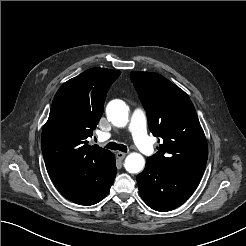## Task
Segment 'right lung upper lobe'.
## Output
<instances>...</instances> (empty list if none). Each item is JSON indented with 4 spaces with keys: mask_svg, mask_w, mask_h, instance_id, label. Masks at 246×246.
<instances>
[{
    "mask_svg": "<svg viewBox=\"0 0 246 246\" xmlns=\"http://www.w3.org/2000/svg\"><path fill=\"white\" fill-rule=\"evenodd\" d=\"M120 74L116 70L91 68L59 88L41 137L50 176L103 161L111 154L98 145H88L86 139L92 136L103 113L106 93Z\"/></svg>",
    "mask_w": 246,
    "mask_h": 246,
    "instance_id": "1",
    "label": "right lung upper lobe"
}]
</instances>
